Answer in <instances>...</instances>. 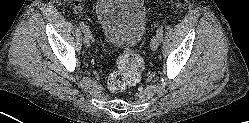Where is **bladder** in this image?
Segmentation results:
<instances>
[{
  "mask_svg": "<svg viewBox=\"0 0 249 123\" xmlns=\"http://www.w3.org/2000/svg\"><path fill=\"white\" fill-rule=\"evenodd\" d=\"M96 16L104 38L114 46L133 47L145 34L143 0H97Z\"/></svg>",
  "mask_w": 249,
  "mask_h": 123,
  "instance_id": "1",
  "label": "bladder"
}]
</instances>
